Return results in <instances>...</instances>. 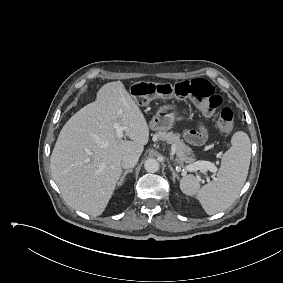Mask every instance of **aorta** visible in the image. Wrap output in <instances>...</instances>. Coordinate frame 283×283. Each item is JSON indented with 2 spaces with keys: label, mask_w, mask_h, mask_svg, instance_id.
Listing matches in <instances>:
<instances>
[{
  "label": "aorta",
  "mask_w": 283,
  "mask_h": 283,
  "mask_svg": "<svg viewBox=\"0 0 283 283\" xmlns=\"http://www.w3.org/2000/svg\"><path fill=\"white\" fill-rule=\"evenodd\" d=\"M159 162L154 158H148L144 163V168L149 173H155L159 170Z\"/></svg>",
  "instance_id": "aorta-1"
}]
</instances>
